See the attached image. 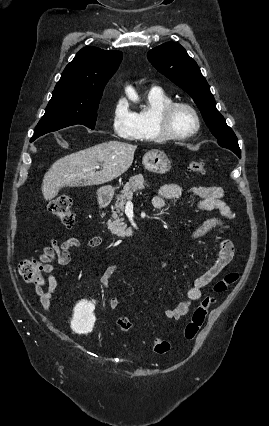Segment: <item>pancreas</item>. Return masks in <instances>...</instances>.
Masks as SVG:
<instances>
[{"instance_id": "1", "label": "pancreas", "mask_w": 269, "mask_h": 426, "mask_svg": "<svg viewBox=\"0 0 269 426\" xmlns=\"http://www.w3.org/2000/svg\"><path fill=\"white\" fill-rule=\"evenodd\" d=\"M146 182L143 175L133 176L128 183L125 184L121 194L116 198L114 204V210L112 211V219L108 222V229L112 234H115L119 237L131 236L133 234L132 229L127 227V224L124 222L122 216V211L124 210V205L128 200L133 198V194L139 190L145 188Z\"/></svg>"}]
</instances>
